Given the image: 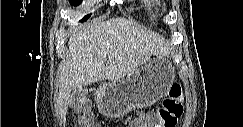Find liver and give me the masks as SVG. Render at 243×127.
I'll return each mask as SVG.
<instances>
[{"label":"liver","instance_id":"liver-1","mask_svg":"<svg viewBox=\"0 0 243 127\" xmlns=\"http://www.w3.org/2000/svg\"><path fill=\"white\" fill-rule=\"evenodd\" d=\"M58 73L59 115L69 105L71 91L102 80L117 81L133 73L152 55L166 56V42L126 18H112L75 32Z\"/></svg>","mask_w":243,"mask_h":127}]
</instances>
